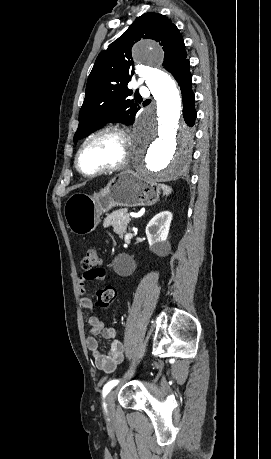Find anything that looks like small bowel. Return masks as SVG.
Returning <instances> with one entry per match:
<instances>
[{
	"mask_svg": "<svg viewBox=\"0 0 271 459\" xmlns=\"http://www.w3.org/2000/svg\"><path fill=\"white\" fill-rule=\"evenodd\" d=\"M106 278V271L99 268L94 271L84 272L78 279V288L80 293V304L83 308L92 310L93 301L86 293V286L89 282L102 281ZM90 336L86 339V345L89 349L95 365L98 369L112 373L116 367L123 361V346L116 338V330L113 327L105 326L96 316L88 319ZM101 334L106 340L110 341L109 349L106 353L102 352L96 335Z\"/></svg>",
	"mask_w": 271,
	"mask_h": 459,
	"instance_id": "c3829d8e",
	"label": "small bowel"
}]
</instances>
